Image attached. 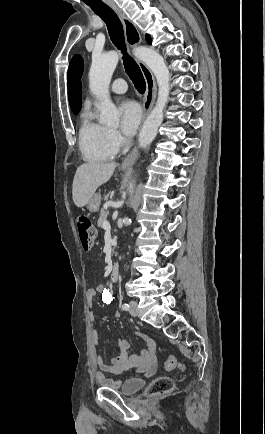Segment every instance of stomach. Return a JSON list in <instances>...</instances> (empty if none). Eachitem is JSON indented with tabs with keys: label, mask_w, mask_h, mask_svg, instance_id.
<instances>
[{
	"label": "stomach",
	"mask_w": 265,
	"mask_h": 434,
	"mask_svg": "<svg viewBox=\"0 0 265 434\" xmlns=\"http://www.w3.org/2000/svg\"><path fill=\"white\" fill-rule=\"evenodd\" d=\"M121 168L122 170H130V168H125V166H121ZM101 200V194H93L91 200L88 202L90 212H98Z\"/></svg>",
	"instance_id": "1"
}]
</instances>
